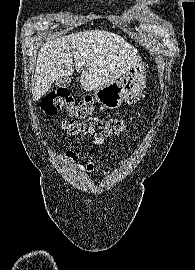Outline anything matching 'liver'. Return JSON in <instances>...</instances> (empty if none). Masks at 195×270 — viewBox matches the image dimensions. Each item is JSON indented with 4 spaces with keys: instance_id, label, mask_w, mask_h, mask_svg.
Masks as SVG:
<instances>
[{
    "instance_id": "6515ba94",
    "label": "liver",
    "mask_w": 195,
    "mask_h": 270,
    "mask_svg": "<svg viewBox=\"0 0 195 270\" xmlns=\"http://www.w3.org/2000/svg\"><path fill=\"white\" fill-rule=\"evenodd\" d=\"M137 49L121 36L103 30L55 35L40 48L34 75L33 100H39L59 78L74 70L81 85L95 91L118 80L140 63Z\"/></svg>"
}]
</instances>
